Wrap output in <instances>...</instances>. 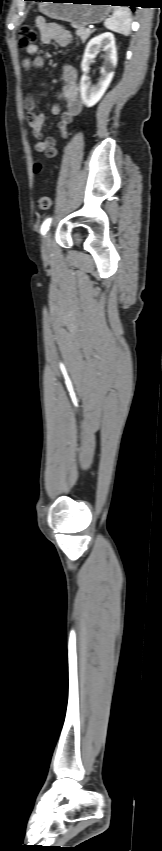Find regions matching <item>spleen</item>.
Listing matches in <instances>:
<instances>
[{
  "label": "spleen",
  "mask_w": 162,
  "mask_h": 851,
  "mask_svg": "<svg viewBox=\"0 0 162 851\" xmlns=\"http://www.w3.org/2000/svg\"><path fill=\"white\" fill-rule=\"evenodd\" d=\"M131 13L127 7H114L113 14L104 22V26L122 35L130 34Z\"/></svg>",
  "instance_id": "spleen-1"
}]
</instances>
